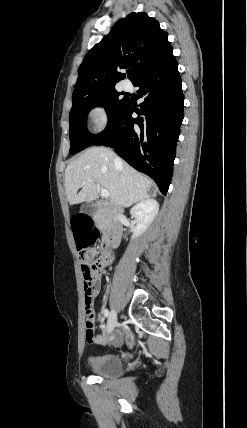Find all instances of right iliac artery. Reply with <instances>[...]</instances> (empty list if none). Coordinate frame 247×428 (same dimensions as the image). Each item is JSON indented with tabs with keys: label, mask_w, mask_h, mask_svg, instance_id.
I'll return each mask as SVG.
<instances>
[{
	"label": "right iliac artery",
	"mask_w": 247,
	"mask_h": 428,
	"mask_svg": "<svg viewBox=\"0 0 247 428\" xmlns=\"http://www.w3.org/2000/svg\"><path fill=\"white\" fill-rule=\"evenodd\" d=\"M104 315H105V317H108V316H109V311H108V309H105V310H104Z\"/></svg>",
	"instance_id": "obj_1"
}]
</instances>
